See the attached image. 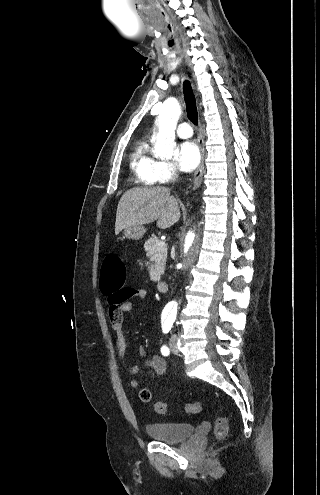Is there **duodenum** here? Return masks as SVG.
<instances>
[{
	"instance_id": "1",
	"label": "duodenum",
	"mask_w": 320,
	"mask_h": 495,
	"mask_svg": "<svg viewBox=\"0 0 320 495\" xmlns=\"http://www.w3.org/2000/svg\"><path fill=\"white\" fill-rule=\"evenodd\" d=\"M157 287L160 292L165 293L168 291L169 285L166 281H159Z\"/></svg>"
}]
</instances>
